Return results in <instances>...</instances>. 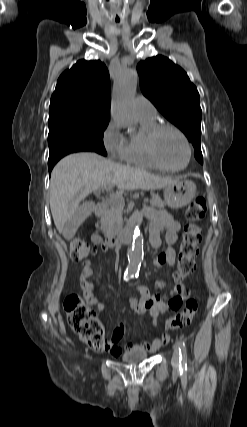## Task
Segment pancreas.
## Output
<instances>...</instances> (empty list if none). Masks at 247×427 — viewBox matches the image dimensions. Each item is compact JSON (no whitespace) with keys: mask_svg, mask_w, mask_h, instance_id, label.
Wrapping results in <instances>:
<instances>
[{"mask_svg":"<svg viewBox=\"0 0 247 427\" xmlns=\"http://www.w3.org/2000/svg\"><path fill=\"white\" fill-rule=\"evenodd\" d=\"M152 207L162 208L164 203L158 194H152L150 200ZM124 202L113 201L110 202L105 209H103L100 216V230L105 236L114 235L118 229L122 227V212Z\"/></svg>","mask_w":247,"mask_h":427,"instance_id":"pancreas-1","label":"pancreas"}]
</instances>
